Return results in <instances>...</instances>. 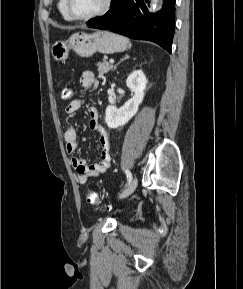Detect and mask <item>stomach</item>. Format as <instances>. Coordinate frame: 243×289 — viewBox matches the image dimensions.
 <instances>
[{
  "instance_id": "0dacf381",
  "label": "stomach",
  "mask_w": 243,
  "mask_h": 289,
  "mask_svg": "<svg viewBox=\"0 0 243 289\" xmlns=\"http://www.w3.org/2000/svg\"><path fill=\"white\" fill-rule=\"evenodd\" d=\"M129 47L128 38L109 31H96L91 34L76 32L66 41L55 42L51 47V55L56 61L64 62L71 49L81 57H90L95 52L112 54L123 52Z\"/></svg>"
}]
</instances>
